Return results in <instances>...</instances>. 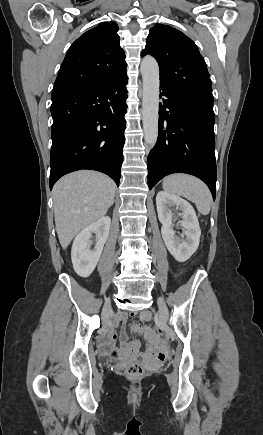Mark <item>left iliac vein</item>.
Returning a JSON list of instances; mask_svg holds the SVG:
<instances>
[{"label": "left iliac vein", "instance_id": "left-iliac-vein-1", "mask_svg": "<svg viewBox=\"0 0 263 435\" xmlns=\"http://www.w3.org/2000/svg\"><path fill=\"white\" fill-rule=\"evenodd\" d=\"M158 305H159V314H160L161 320L163 322H167L169 320V312H168L166 304L164 303V301L162 299H159Z\"/></svg>", "mask_w": 263, "mask_h": 435}]
</instances>
